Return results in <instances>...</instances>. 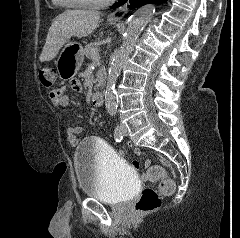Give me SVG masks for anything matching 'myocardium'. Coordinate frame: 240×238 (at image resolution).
<instances>
[{"mask_svg": "<svg viewBox=\"0 0 240 238\" xmlns=\"http://www.w3.org/2000/svg\"><path fill=\"white\" fill-rule=\"evenodd\" d=\"M114 0H103L98 2L81 1V0H62V2L69 7L77 8H100L109 5Z\"/></svg>", "mask_w": 240, "mask_h": 238, "instance_id": "obj_1", "label": "myocardium"}]
</instances>
